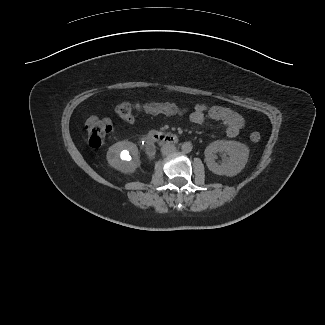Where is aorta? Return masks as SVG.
Masks as SVG:
<instances>
[{
  "instance_id": "obj_1",
  "label": "aorta",
  "mask_w": 325,
  "mask_h": 325,
  "mask_svg": "<svg viewBox=\"0 0 325 325\" xmlns=\"http://www.w3.org/2000/svg\"><path fill=\"white\" fill-rule=\"evenodd\" d=\"M183 153H189L192 151V144L190 142H184L181 146Z\"/></svg>"
}]
</instances>
